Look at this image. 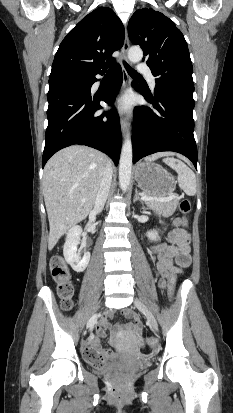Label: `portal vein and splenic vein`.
I'll use <instances>...</instances> for the list:
<instances>
[{
  "mask_svg": "<svg viewBox=\"0 0 233 413\" xmlns=\"http://www.w3.org/2000/svg\"><path fill=\"white\" fill-rule=\"evenodd\" d=\"M142 199L144 201H158V202H169L171 200H173V196H167V197H147V196H143ZM83 202H85L83 200Z\"/></svg>",
  "mask_w": 233,
  "mask_h": 413,
  "instance_id": "obj_1",
  "label": "portal vein and splenic vein"
}]
</instances>
